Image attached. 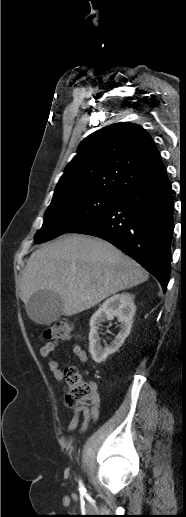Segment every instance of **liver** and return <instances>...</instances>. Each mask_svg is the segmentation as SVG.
Here are the masks:
<instances>
[{"label":"liver","mask_w":186,"mask_h":517,"mask_svg":"<svg viewBox=\"0 0 186 517\" xmlns=\"http://www.w3.org/2000/svg\"><path fill=\"white\" fill-rule=\"evenodd\" d=\"M149 273L135 260L100 238L68 234L34 251L21 281V300L52 291L72 316L110 295L147 281Z\"/></svg>","instance_id":"6515ba94"}]
</instances>
